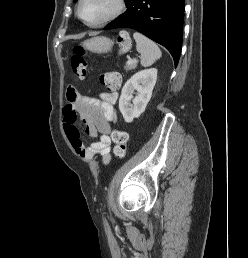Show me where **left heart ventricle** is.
<instances>
[{"mask_svg": "<svg viewBox=\"0 0 248 258\" xmlns=\"http://www.w3.org/2000/svg\"><path fill=\"white\" fill-rule=\"evenodd\" d=\"M116 0H84L82 14L88 22H96L113 11Z\"/></svg>", "mask_w": 248, "mask_h": 258, "instance_id": "b2bd125f", "label": "left heart ventricle"}]
</instances>
